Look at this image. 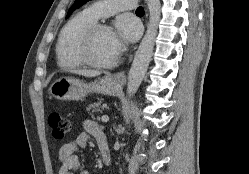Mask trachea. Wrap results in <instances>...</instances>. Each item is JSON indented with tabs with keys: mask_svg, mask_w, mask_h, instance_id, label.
I'll return each mask as SVG.
<instances>
[{
	"mask_svg": "<svg viewBox=\"0 0 249 174\" xmlns=\"http://www.w3.org/2000/svg\"><path fill=\"white\" fill-rule=\"evenodd\" d=\"M136 13H144V8L142 6H139L136 10Z\"/></svg>",
	"mask_w": 249,
	"mask_h": 174,
	"instance_id": "1",
	"label": "trachea"
}]
</instances>
